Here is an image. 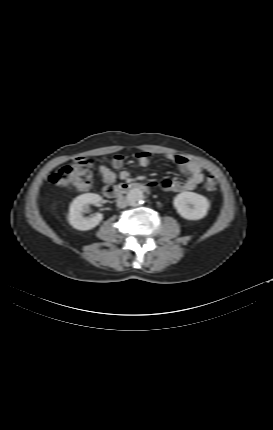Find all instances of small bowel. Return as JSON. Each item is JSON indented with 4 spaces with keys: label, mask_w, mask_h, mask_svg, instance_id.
<instances>
[{
    "label": "small bowel",
    "mask_w": 273,
    "mask_h": 430,
    "mask_svg": "<svg viewBox=\"0 0 273 430\" xmlns=\"http://www.w3.org/2000/svg\"><path fill=\"white\" fill-rule=\"evenodd\" d=\"M164 156L171 162L175 163L181 172L187 176V179L183 181L165 179L153 182V186L160 187L165 191L170 192H184L193 190L203 181V168L199 163L189 160L186 157L178 154L166 153ZM136 159L140 166L146 167L150 164L151 154L147 151H142L136 155ZM87 160L89 165H91L92 160ZM124 162V156L119 154L114 155L111 158L110 164L113 169L119 170V173L116 174L111 167L104 164H100L96 167L97 172L107 184L114 183L117 177L123 180L127 179L130 176V172L126 169H122Z\"/></svg>",
    "instance_id": "1"
}]
</instances>
